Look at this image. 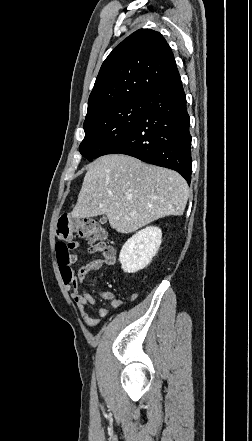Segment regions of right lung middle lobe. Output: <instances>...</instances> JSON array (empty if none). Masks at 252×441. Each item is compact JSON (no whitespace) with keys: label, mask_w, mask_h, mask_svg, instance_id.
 <instances>
[{"label":"right lung middle lobe","mask_w":252,"mask_h":441,"mask_svg":"<svg viewBox=\"0 0 252 441\" xmlns=\"http://www.w3.org/2000/svg\"><path fill=\"white\" fill-rule=\"evenodd\" d=\"M144 110L141 98L103 109L84 121L85 138L80 153L89 161L105 155L106 151L126 136L137 124Z\"/></svg>","instance_id":"1"}]
</instances>
